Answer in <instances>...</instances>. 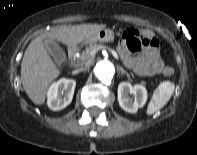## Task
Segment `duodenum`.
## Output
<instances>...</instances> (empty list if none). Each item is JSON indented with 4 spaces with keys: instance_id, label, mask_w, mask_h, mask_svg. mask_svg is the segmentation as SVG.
I'll return each mask as SVG.
<instances>
[{
    "instance_id": "410a0bca",
    "label": "duodenum",
    "mask_w": 197,
    "mask_h": 155,
    "mask_svg": "<svg viewBox=\"0 0 197 155\" xmlns=\"http://www.w3.org/2000/svg\"><path fill=\"white\" fill-rule=\"evenodd\" d=\"M68 53H69L70 57H73L76 54V49L74 47H72V48L69 49Z\"/></svg>"
}]
</instances>
